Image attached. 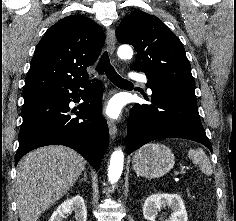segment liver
Here are the masks:
<instances>
[{
  "label": "liver",
  "instance_id": "obj_1",
  "mask_svg": "<svg viewBox=\"0 0 236 221\" xmlns=\"http://www.w3.org/2000/svg\"><path fill=\"white\" fill-rule=\"evenodd\" d=\"M84 169V158L64 146L41 147L23 157L15 183L20 221H37L69 191Z\"/></svg>",
  "mask_w": 236,
  "mask_h": 221
}]
</instances>
